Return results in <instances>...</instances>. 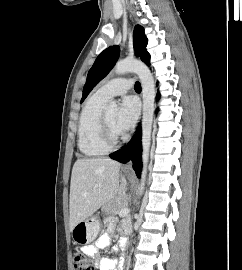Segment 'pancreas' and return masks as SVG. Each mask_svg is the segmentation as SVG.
Returning <instances> with one entry per match:
<instances>
[{
    "mask_svg": "<svg viewBox=\"0 0 242 270\" xmlns=\"http://www.w3.org/2000/svg\"><path fill=\"white\" fill-rule=\"evenodd\" d=\"M128 204V199L125 195H122L116 201H112L104 207V210L111 215L117 214L121 209L125 208Z\"/></svg>",
    "mask_w": 242,
    "mask_h": 270,
    "instance_id": "1",
    "label": "pancreas"
}]
</instances>
